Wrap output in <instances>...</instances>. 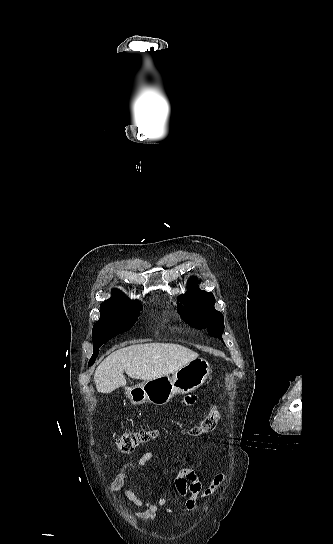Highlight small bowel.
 <instances>
[{
    "label": "small bowel",
    "instance_id": "obj_1",
    "mask_svg": "<svg viewBox=\"0 0 333 544\" xmlns=\"http://www.w3.org/2000/svg\"><path fill=\"white\" fill-rule=\"evenodd\" d=\"M196 401L195 396H188L185 398V405H191ZM154 458L153 454L147 452L143 454L138 462L125 463L110 485V492L123 491L125 497L140 510L135 513V517L151 522L155 519L160 507L167 504V499L164 497H157L156 502L150 501L146 495H139L135 491L128 487V472L135 471L139 467L146 466ZM226 479L225 474L216 475L207 488H203L200 476L193 467L181 468L174 480V485L178 495L186 499V510L196 509L200 502L211 497L223 484Z\"/></svg>",
    "mask_w": 333,
    "mask_h": 544
}]
</instances>
